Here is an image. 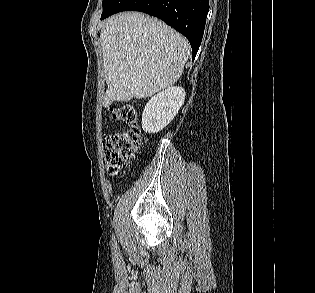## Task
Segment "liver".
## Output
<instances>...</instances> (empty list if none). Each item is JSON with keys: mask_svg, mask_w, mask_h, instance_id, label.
I'll use <instances>...</instances> for the list:
<instances>
[{"mask_svg": "<svg viewBox=\"0 0 315 293\" xmlns=\"http://www.w3.org/2000/svg\"><path fill=\"white\" fill-rule=\"evenodd\" d=\"M103 104L147 98L173 85L190 53L185 37L162 21L139 12H124L101 28Z\"/></svg>", "mask_w": 315, "mask_h": 293, "instance_id": "6515ba94", "label": "liver"}]
</instances>
